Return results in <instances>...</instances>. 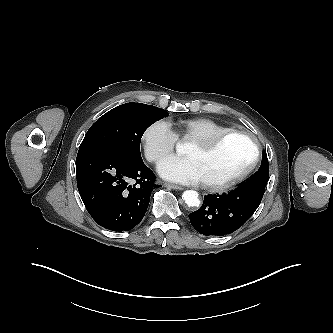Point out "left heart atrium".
I'll use <instances>...</instances> for the list:
<instances>
[{
    "mask_svg": "<svg viewBox=\"0 0 333 333\" xmlns=\"http://www.w3.org/2000/svg\"><path fill=\"white\" fill-rule=\"evenodd\" d=\"M158 170L161 176L171 181L183 184H197L202 182L196 163L188 156L168 157L159 164Z\"/></svg>",
    "mask_w": 333,
    "mask_h": 333,
    "instance_id": "39dd6f15",
    "label": "left heart atrium"
}]
</instances>
